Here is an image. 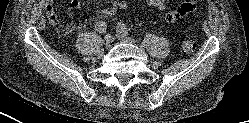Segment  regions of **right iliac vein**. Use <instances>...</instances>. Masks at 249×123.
<instances>
[{"label":"right iliac vein","instance_id":"obj_1","mask_svg":"<svg viewBox=\"0 0 249 123\" xmlns=\"http://www.w3.org/2000/svg\"><path fill=\"white\" fill-rule=\"evenodd\" d=\"M113 42V36L110 35V34H107L105 37H104V45L106 47H109L111 45V43Z\"/></svg>","mask_w":249,"mask_h":123}]
</instances>
